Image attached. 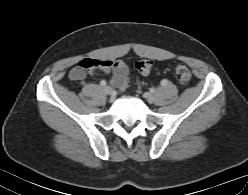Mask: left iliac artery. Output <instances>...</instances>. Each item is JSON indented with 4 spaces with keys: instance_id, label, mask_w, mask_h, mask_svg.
<instances>
[{
    "instance_id": "44dca946",
    "label": "left iliac artery",
    "mask_w": 248,
    "mask_h": 195,
    "mask_svg": "<svg viewBox=\"0 0 248 195\" xmlns=\"http://www.w3.org/2000/svg\"><path fill=\"white\" fill-rule=\"evenodd\" d=\"M166 84H167V80L166 79H164V80L161 81V85L162 86H165Z\"/></svg>"
}]
</instances>
